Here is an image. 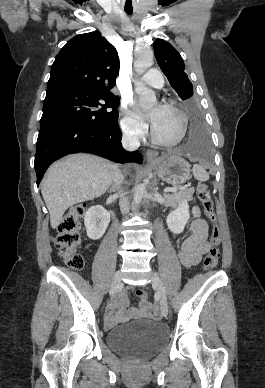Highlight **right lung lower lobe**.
Here are the masks:
<instances>
[{
    "mask_svg": "<svg viewBox=\"0 0 265 388\" xmlns=\"http://www.w3.org/2000/svg\"><path fill=\"white\" fill-rule=\"evenodd\" d=\"M122 133L118 124L97 127L91 123L62 122L40 128L34 168L39 185L48 166L73 152L99 155L115 162H142L137 152H127L121 145Z\"/></svg>",
    "mask_w": 265,
    "mask_h": 388,
    "instance_id": "right-lung-lower-lobe-1",
    "label": "right lung lower lobe"
}]
</instances>
